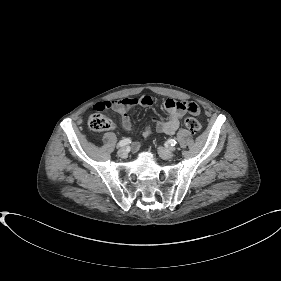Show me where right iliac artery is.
<instances>
[{
	"mask_svg": "<svg viewBox=\"0 0 281 281\" xmlns=\"http://www.w3.org/2000/svg\"><path fill=\"white\" fill-rule=\"evenodd\" d=\"M130 143H131V139L125 138L118 143V146L123 147V146H126V145L130 144Z\"/></svg>",
	"mask_w": 281,
	"mask_h": 281,
	"instance_id": "right-iliac-artery-1",
	"label": "right iliac artery"
}]
</instances>
